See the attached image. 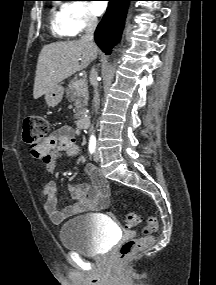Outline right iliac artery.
<instances>
[{
  "instance_id": "obj_1",
  "label": "right iliac artery",
  "mask_w": 216,
  "mask_h": 285,
  "mask_svg": "<svg viewBox=\"0 0 216 285\" xmlns=\"http://www.w3.org/2000/svg\"><path fill=\"white\" fill-rule=\"evenodd\" d=\"M96 149V139L94 136L90 137V141H89V152L90 154H93L95 152Z\"/></svg>"
}]
</instances>
